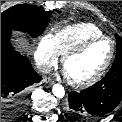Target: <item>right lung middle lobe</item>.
<instances>
[{
    "label": "right lung middle lobe",
    "instance_id": "1",
    "mask_svg": "<svg viewBox=\"0 0 122 122\" xmlns=\"http://www.w3.org/2000/svg\"><path fill=\"white\" fill-rule=\"evenodd\" d=\"M51 12L42 8L21 4L1 13V31L19 30L37 37L46 29Z\"/></svg>",
    "mask_w": 122,
    "mask_h": 122
}]
</instances>
